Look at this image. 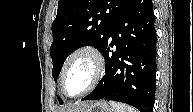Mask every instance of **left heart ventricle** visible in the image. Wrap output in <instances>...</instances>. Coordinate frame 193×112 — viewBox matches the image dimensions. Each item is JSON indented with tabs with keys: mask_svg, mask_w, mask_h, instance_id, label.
I'll return each mask as SVG.
<instances>
[{
	"mask_svg": "<svg viewBox=\"0 0 193 112\" xmlns=\"http://www.w3.org/2000/svg\"><path fill=\"white\" fill-rule=\"evenodd\" d=\"M92 60L81 55L75 58L68 67L66 73V88L69 94H78L90 83L93 76Z\"/></svg>",
	"mask_w": 193,
	"mask_h": 112,
	"instance_id": "left-heart-ventricle-1",
	"label": "left heart ventricle"
}]
</instances>
